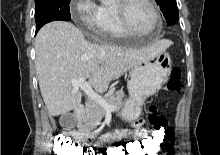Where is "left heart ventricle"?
<instances>
[{
	"label": "left heart ventricle",
	"mask_w": 220,
	"mask_h": 155,
	"mask_svg": "<svg viewBox=\"0 0 220 155\" xmlns=\"http://www.w3.org/2000/svg\"><path fill=\"white\" fill-rule=\"evenodd\" d=\"M131 25L140 31L152 28L154 19L149 5L144 0H133L127 10Z\"/></svg>",
	"instance_id": "obj_1"
}]
</instances>
